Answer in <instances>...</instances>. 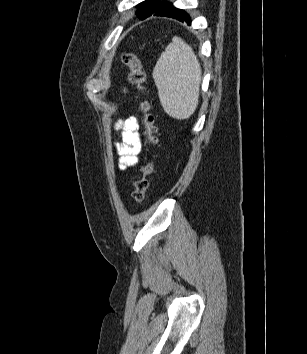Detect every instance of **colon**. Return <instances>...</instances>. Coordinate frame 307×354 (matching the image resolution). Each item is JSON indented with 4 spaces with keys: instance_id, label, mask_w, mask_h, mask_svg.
<instances>
[{
    "instance_id": "obj_1",
    "label": "colon",
    "mask_w": 307,
    "mask_h": 354,
    "mask_svg": "<svg viewBox=\"0 0 307 354\" xmlns=\"http://www.w3.org/2000/svg\"><path fill=\"white\" fill-rule=\"evenodd\" d=\"M124 64L129 69V80L139 96L138 110L142 116L144 127L145 143L149 150L157 144V127L155 117L150 112V102L145 98L144 80L145 74L139 57L133 52L124 53ZM153 171V163L147 159L140 168V177L134 183L133 198L137 203H141L146 196L148 189L149 176Z\"/></svg>"
}]
</instances>
